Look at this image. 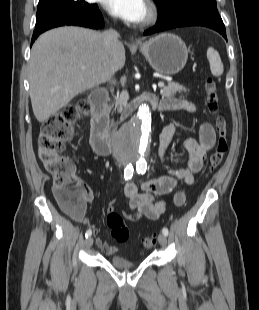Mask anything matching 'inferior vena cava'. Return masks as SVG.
<instances>
[{
	"label": "inferior vena cava",
	"instance_id": "1",
	"mask_svg": "<svg viewBox=\"0 0 259 310\" xmlns=\"http://www.w3.org/2000/svg\"><path fill=\"white\" fill-rule=\"evenodd\" d=\"M119 34L117 33V31L110 29L108 31H105L103 33V40H104V44L106 49L110 50L112 49L114 46H116L119 43ZM110 82H112L113 84L116 83L115 80H110Z\"/></svg>",
	"mask_w": 259,
	"mask_h": 310
}]
</instances>
